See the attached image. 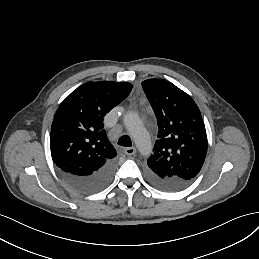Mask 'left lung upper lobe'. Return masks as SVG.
<instances>
[{
  "instance_id": "left-lung-upper-lobe-1",
  "label": "left lung upper lobe",
  "mask_w": 259,
  "mask_h": 259,
  "mask_svg": "<svg viewBox=\"0 0 259 259\" xmlns=\"http://www.w3.org/2000/svg\"><path fill=\"white\" fill-rule=\"evenodd\" d=\"M158 123V140L147 172L162 181L191 182L207 154V135L194 100L171 82H142Z\"/></svg>"
}]
</instances>
